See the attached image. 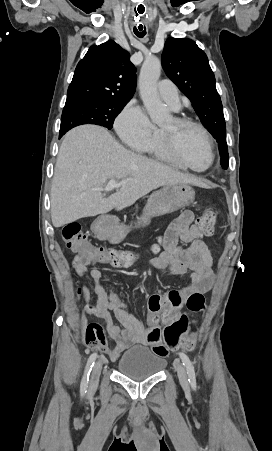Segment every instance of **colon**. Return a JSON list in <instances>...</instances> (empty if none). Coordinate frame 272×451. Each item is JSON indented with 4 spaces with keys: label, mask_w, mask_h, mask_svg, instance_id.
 I'll list each match as a JSON object with an SVG mask.
<instances>
[{
    "label": "colon",
    "mask_w": 272,
    "mask_h": 451,
    "mask_svg": "<svg viewBox=\"0 0 272 451\" xmlns=\"http://www.w3.org/2000/svg\"><path fill=\"white\" fill-rule=\"evenodd\" d=\"M217 214L212 209H208L200 215L196 221L197 227L202 231L204 239H211L214 233V226ZM62 239L66 247L73 250H80L82 256H104L110 260L111 268H120L131 263V254L106 247H93L92 241H86V235L82 232L81 226L75 222L67 223L62 229ZM93 248V249H92ZM79 271L86 270L91 266V259L77 258L70 262ZM209 301L200 294H193L187 300V313H204ZM189 319L182 314L176 320L168 323L164 328L150 325L146 331L145 348H153L156 355L166 357L178 349V347H196V338H182L188 332ZM84 343L88 347L105 346L107 343L106 330L103 324L92 321L88 323L84 332Z\"/></svg>",
    "instance_id": "1"
}]
</instances>
